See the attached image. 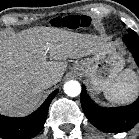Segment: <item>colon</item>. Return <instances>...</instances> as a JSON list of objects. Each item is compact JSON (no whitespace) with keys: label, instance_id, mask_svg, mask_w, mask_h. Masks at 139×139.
<instances>
[{"label":"colon","instance_id":"obj_1","mask_svg":"<svg viewBox=\"0 0 139 139\" xmlns=\"http://www.w3.org/2000/svg\"><path fill=\"white\" fill-rule=\"evenodd\" d=\"M54 26H64L69 28L84 27L88 24V17L86 16H66L56 17L50 21Z\"/></svg>","mask_w":139,"mask_h":139}]
</instances>
